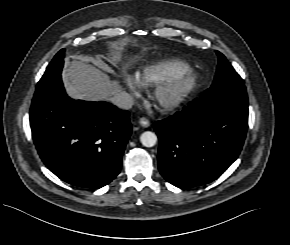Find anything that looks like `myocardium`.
I'll return each instance as SVG.
<instances>
[{
	"label": "myocardium",
	"instance_id": "f54148a6",
	"mask_svg": "<svg viewBox=\"0 0 290 245\" xmlns=\"http://www.w3.org/2000/svg\"><path fill=\"white\" fill-rule=\"evenodd\" d=\"M199 82V75L192 69L171 74L153 86L152 99L161 110L173 111L191 97Z\"/></svg>",
	"mask_w": 290,
	"mask_h": 245
}]
</instances>
